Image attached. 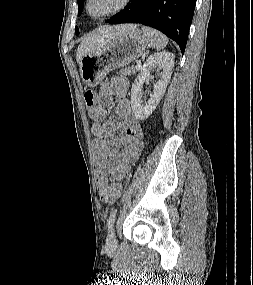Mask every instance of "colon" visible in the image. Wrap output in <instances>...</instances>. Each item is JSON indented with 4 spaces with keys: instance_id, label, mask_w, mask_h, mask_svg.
Here are the masks:
<instances>
[{
    "instance_id": "colon-1",
    "label": "colon",
    "mask_w": 253,
    "mask_h": 285,
    "mask_svg": "<svg viewBox=\"0 0 253 285\" xmlns=\"http://www.w3.org/2000/svg\"><path fill=\"white\" fill-rule=\"evenodd\" d=\"M84 99H85V103H86L87 107L92 108L96 102L95 92L90 90V89L87 90L84 94ZM113 188H114L115 192L118 193L119 195L122 193L123 186L121 183H115L113 185Z\"/></svg>"
}]
</instances>
